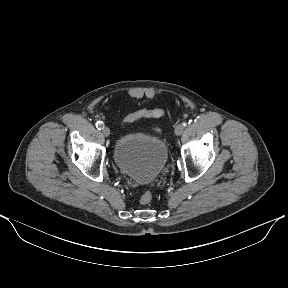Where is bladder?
Listing matches in <instances>:
<instances>
[{
  "mask_svg": "<svg viewBox=\"0 0 288 288\" xmlns=\"http://www.w3.org/2000/svg\"><path fill=\"white\" fill-rule=\"evenodd\" d=\"M167 158V144L157 135L126 133L116 140L113 147L116 166L140 184L153 182L164 169Z\"/></svg>",
  "mask_w": 288,
  "mask_h": 288,
  "instance_id": "bladder-1",
  "label": "bladder"
}]
</instances>
